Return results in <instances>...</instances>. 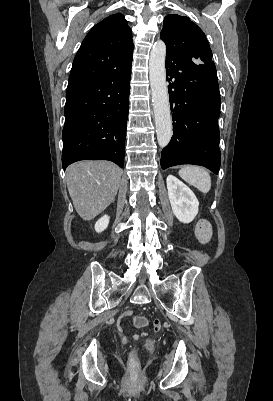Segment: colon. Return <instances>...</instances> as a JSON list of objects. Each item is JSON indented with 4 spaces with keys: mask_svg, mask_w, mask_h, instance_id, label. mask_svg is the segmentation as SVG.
Segmentation results:
<instances>
[{
    "mask_svg": "<svg viewBox=\"0 0 273 401\" xmlns=\"http://www.w3.org/2000/svg\"><path fill=\"white\" fill-rule=\"evenodd\" d=\"M201 229H203V232L200 233L199 238L201 241H210L212 238V235L210 232H207V229L209 227L208 222H201L200 223ZM135 325L137 328H144L146 325L145 318L143 315H136L134 318ZM126 355L128 358H130V365L127 369L128 372V379L130 381H138L141 378V372L142 369L139 364V352L137 349H128L126 352Z\"/></svg>",
    "mask_w": 273,
    "mask_h": 401,
    "instance_id": "obj_1",
    "label": "colon"
}]
</instances>
